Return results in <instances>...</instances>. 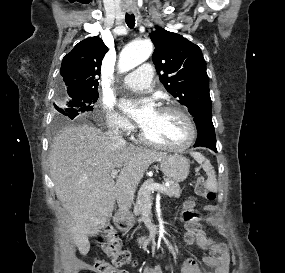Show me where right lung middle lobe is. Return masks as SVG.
<instances>
[{
  "instance_id": "right-lung-middle-lobe-1",
  "label": "right lung middle lobe",
  "mask_w": 285,
  "mask_h": 273,
  "mask_svg": "<svg viewBox=\"0 0 285 273\" xmlns=\"http://www.w3.org/2000/svg\"><path fill=\"white\" fill-rule=\"evenodd\" d=\"M99 94L97 91L66 93L58 92V111L56 121L61 122L67 119H74L82 112L92 111L93 104L97 101Z\"/></svg>"
}]
</instances>
